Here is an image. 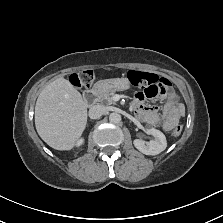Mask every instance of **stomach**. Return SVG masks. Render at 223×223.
I'll return each instance as SVG.
<instances>
[{
	"instance_id": "0dacf381",
	"label": "stomach",
	"mask_w": 223,
	"mask_h": 223,
	"mask_svg": "<svg viewBox=\"0 0 223 223\" xmlns=\"http://www.w3.org/2000/svg\"><path fill=\"white\" fill-rule=\"evenodd\" d=\"M130 83H132V81L127 76H125V78H122V79L120 78L106 79V80L98 81L95 84L94 89L97 90L99 93L102 90H106V89H112L113 91L116 89L118 91V90L127 89Z\"/></svg>"
}]
</instances>
